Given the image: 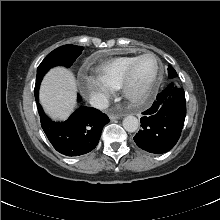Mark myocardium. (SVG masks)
I'll return each mask as SVG.
<instances>
[{"label": "myocardium", "instance_id": "obj_1", "mask_svg": "<svg viewBox=\"0 0 220 220\" xmlns=\"http://www.w3.org/2000/svg\"><path fill=\"white\" fill-rule=\"evenodd\" d=\"M146 56H153L157 61V72L154 76V78L151 80V82L141 91L138 93H134L131 90L132 82H133V76L136 69L137 64L141 59H143ZM162 76V62L158 55H156L153 52H145L139 56L131 63V65L128 67L122 84H121V91L123 96L132 103H141L144 100L147 99V97L151 94L153 89L156 87L158 82L160 81Z\"/></svg>", "mask_w": 220, "mask_h": 220}]
</instances>
